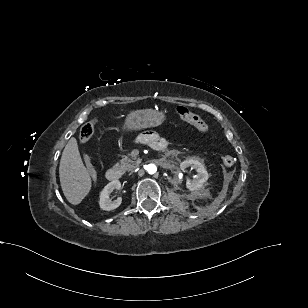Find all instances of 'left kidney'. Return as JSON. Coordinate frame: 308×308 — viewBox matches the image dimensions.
<instances>
[{"label": "left kidney", "instance_id": "5707ae66", "mask_svg": "<svg viewBox=\"0 0 308 308\" xmlns=\"http://www.w3.org/2000/svg\"><path fill=\"white\" fill-rule=\"evenodd\" d=\"M196 169L197 175L193 181L187 180L186 187L190 191H196L203 187V184L208 180V173L204 165L197 159L189 158L180 164L181 170L184 172L187 167Z\"/></svg>", "mask_w": 308, "mask_h": 308}]
</instances>
